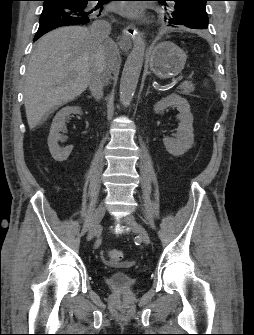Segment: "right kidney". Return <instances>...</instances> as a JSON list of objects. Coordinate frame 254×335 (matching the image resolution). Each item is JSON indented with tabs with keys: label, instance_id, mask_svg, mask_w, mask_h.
I'll return each mask as SVG.
<instances>
[{
	"label": "right kidney",
	"instance_id": "ca27d5eb",
	"mask_svg": "<svg viewBox=\"0 0 254 335\" xmlns=\"http://www.w3.org/2000/svg\"><path fill=\"white\" fill-rule=\"evenodd\" d=\"M71 114H82V110L80 107H64L55 115L51 124L48 137V147L53 159L58 162L65 161L73 149L72 145L63 149H61L58 145V141L61 139L60 132L65 128L66 117Z\"/></svg>",
	"mask_w": 254,
	"mask_h": 335
}]
</instances>
